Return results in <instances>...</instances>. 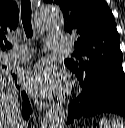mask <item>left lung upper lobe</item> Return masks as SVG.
Instances as JSON below:
<instances>
[{
  "instance_id": "5c2ea615",
  "label": "left lung upper lobe",
  "mask_w": 125,
  "mask_h": 128,
  "mask_svg": "<svg viewBox=\"0 0 125 128\" xmlns=\"http://www.w3.org/2000/svg\"><path fill=\"white\" fill-rule=\"evenodd\" d=\"M64 13V29L79 37L76 51L65 64L89 86L124 75L123 55L114 16L105 0H44Z\"/></svg>"
}]
</instances>
